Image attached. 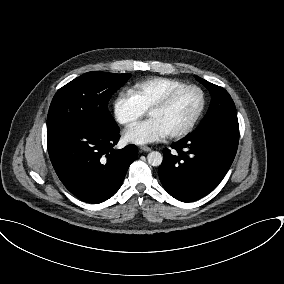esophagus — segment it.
I'll use <instances>...</instances> for the list:
<instances>
[{
    "label": "esophagus",
    "instance_id": "obj_1",
    "mask_svg": "<svg viewBox=\"0 0 284 284\" xmlns=\"http://www.w3.org/2000/svg\"><path fill=\"white\" fill-rule=\"evenodd\" d=\"M140 149H142L143 151H146V152L151 151V148L146 146V145L140 146Z\"/></svg>",
    "mask_w": 284,
    "mask_h": 284
}]
</instances>
